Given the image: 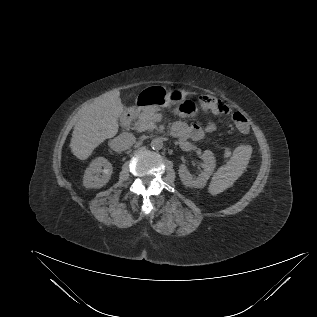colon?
I'll return each instance as SVG.
<instances>
[{
  "label": "colon",
  "instance_id": "obj_1",
  "mask_svg": "<svg viewBox=\"0 0 317 317\" xmlns=\"http://www.w3.org/2000/svg\"><path fill=\"white\" fill-rule=\"evenodd\" d=\"M199 106L203 110H210L215 112L218 115H231L232 119L236 123L237 127L239 129L243 128L245 126V123L248 124V121H243V115L239 112H232L231 109L220 99L211 96V95H203L200 96L198 99ZM191 105L190 103H185L181 106L180 112L182 113H188L190 112ZM245 118V117H244ZM246 119V118H245ZM247 120V119H246Z\"/></svg>",
  "mask_w": 317,
  "mask_h": 317
}]
</instances>
